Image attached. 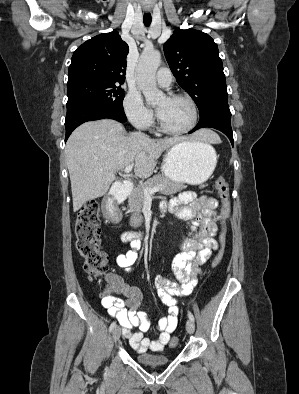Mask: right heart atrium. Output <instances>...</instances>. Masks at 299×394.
<instances>
[{
  "label": "right heart atrium",
  "instance_id": "1",
  "mask_svg": "<svg viewBox=\"0 0 299 394\" xmlns=\"http://www.w3.org/2000/svg\"><path fill=\"white\" fill-rule=\"evenodd\" d=\"M124 111L129 122L138 129H147L153 123V112L137 91H129L125 96Z\"/></svg>",
  "mask_w": 299,
  "mask_h": 394
}]
</instances>
